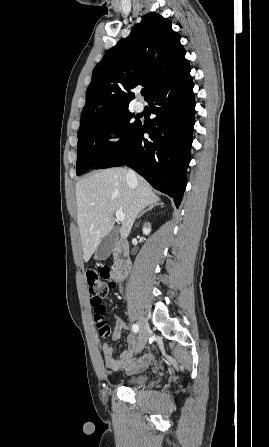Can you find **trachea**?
Wrapping results in <instances>:
<instances>
[{
	"label": "trachea",
	"instance_id": "3493384b",
	"mask_svg": "<svg viewBox=\"0 0 269 447\" xmlns=\"http://www.w3.org/2000/svg\"><path fill=\"white\" fill-rule=\"evenodd\" d=\"M141 94H142V95H146V90H142V91H141Z\"/></svg>",
	"mask_w": 269,
	"mask_h": 447
}]
</instances>
